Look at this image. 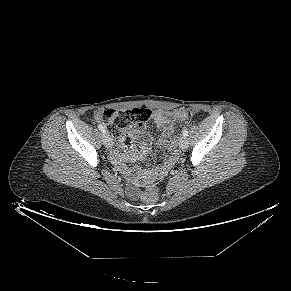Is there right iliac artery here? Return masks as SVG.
I'll return each mask as SVG.
<instances>
[{
  "label": "right iliac artery",
  "mask_w": 291,
  "mask_h": 291,
  "mask_svg": "<svg viewBox=\"0 0 291 291\" xmlns=\"http://www.w3.org/2000/svg\"><path fill=\"white\" fill-rule=\"evenodd\" d=\"M98 128H99V130H100L103 134L106 133L105 128H104L101 124L98 125Z\"/></svg>",
  "instance_id": "right-iliac-artery-1"
}]
</instances>
